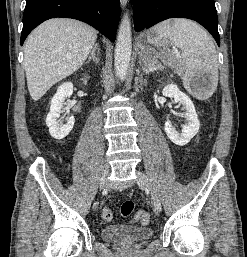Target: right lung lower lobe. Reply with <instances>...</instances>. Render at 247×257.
I'll return each instance as SVG.
<instances>
[{
    "instance_id": "right-lung-lower-lobe-1",
    "label": "right lung lower lobe",
    "mask_w": 247,
    "mask_h": 257,
    "mask_svg": "<svg viewBox=\"0 0 247 257\" xmlns=\"http://www.w3.org/2000/svg\"><path fill=\"white\" fill-rule=\"evenodd\" d=\"M55 17L83 21L111 41H115L120 18V2L119 0H26L21 45L36 26Z\"/></svg>"
}]
</instances>
